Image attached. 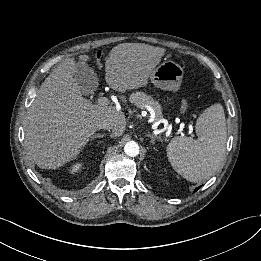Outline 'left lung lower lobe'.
<instances>
[{
    "label": "left lung lower lobe",
    "instance_id": "obj_1",
    "mask_svg": "<svg viewBox=\"0 0 261 261\" xmlns=\"http://www.w3.org/2000/svg\"><path fill=\"white\" fill-rule=\"evenodd\" d=\"M198 189H199V187H197V188L195 189V192H196Z\"/></svg>",
    "mask_w": 261,
    "mask_h": 261
}]
</instances>
